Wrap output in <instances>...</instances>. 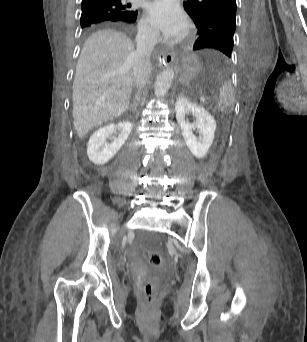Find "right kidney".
Returning <instances> with one entry per match:
<instances>
[{
  "instance_id": "ca27d5eb",
  "label": "right kidney",
  "mask_w": 307,
  "mask_h": 342,
  "mask_svg": "<svg viewBox=\"0 0 307 342\" xmlns=\"http://www.w3.org/2000/svg\"><path fill=\"white\" fill-rule=\"evenodd\" d=\"M132 128V122L127 120V122H119V124H108V126H103V128L96 130L92 134L87 146V156L90 162H93L96 166L107 164L125 144ZM116 130H121V134H119L118 138H115L112 144H107V138Z\"/></svg>"
}]
</instances>
